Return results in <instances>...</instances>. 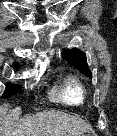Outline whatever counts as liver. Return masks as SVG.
<instances>
[{
  "label": "liver",
  "mask_w": 117,
  "mask_h": 136,
  "mask_svg": "<svg viewBox=\"0 0 117 136\" xmlns=\"http://www.w3.org/2000/svg\"><path fill=\"white\" fill-rule=\"evenodd\" d=\"M20 108L8 112L0 106V131L5 136H79L89 131L81 118L57 110H46L19 121Z\"/></svg>",
  "instance_id": "liver-1"
}]
</instances>
